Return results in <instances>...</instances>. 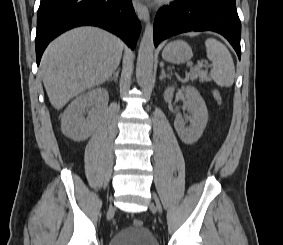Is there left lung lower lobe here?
I'll list each match as a JSON object with an SVG mask.
<instances>
[{
	"mask_svg": "<svg viewBox=\"0 0 283 245\" xmlns=\"http://www.w3.org/2000/svg\"><path fill=\"white\" fill-rule=\"evenodd\" d=\"M214 31L223 35L241 57V23L235 2L228 0H176L162 8L154 20V42L188 31Z\"/></svg>",
	"mask_w": 283,
	"mask_h": 245,
	"instance_id": "0a47b994",
	"label": "left lung lower lobe"
}]
</instances>
